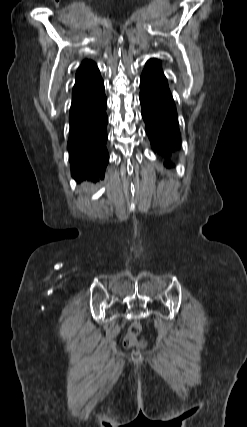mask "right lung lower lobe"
<instances>
[{"instance_id":"right-lung-lower-lobe-1","label":"right lung lower lobe","mask_w":247,"mask_h":427,"mask_svg":"<svg viewBox=\"0 0 247 427\" xmlns=\"http://www.w3.org/2000/svg\"><path fill=\"white\" fill-rule=\"evenodd\" d=\"M106 106L104 82L98 68L76 79L67 149L72 176L78 181L104 177L109 161Z\"/></svg>"}]
</instances>
